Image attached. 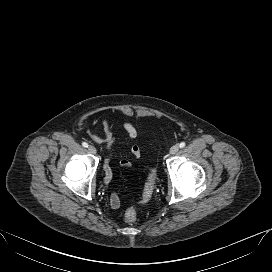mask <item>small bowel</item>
Returning a JSON list of instances; mask_svg holds the SVG:
<instances>
[{"instance_id": "1", "label": "small bowel", "mask_w": 272, "mask_h": 272, "mask_svg": "<svg viewBox=\"0 0 272 272\" xmlns=\"http://www.w3.org/2000/svg\"><path fill=\"white\" fill-rule=\"evenodd\" d=\"M102 126H103V135L100 136V135L90 133L89 136L94 142L105 144L107 147V151L111 152L113 146L117 142H119L120 139L114 136L111 126H110V123L107 119L102 120ZM123 128L126 133V138L123 141L128 142V143L132 142L138 135V131H137L136 127L131 122L125 121L123 123ZM140 153L141 152H140L139 146H137L135 144L131 146L130 154L133 157H135V158L140 157ZM109 162H110L109 159H106L105 164H104L105 172L107 171V174H108V175H105V178H104L105 185H109L111 178H112V172H111V169L109 166ZM120 166L123 168H130L131 163H130V161L124 159V160L120 161ZM110 205L113 209H117L120 206V194L119 193L115 192V193L111 194Z\"/></svg>"}]
</instances>
